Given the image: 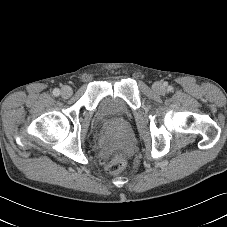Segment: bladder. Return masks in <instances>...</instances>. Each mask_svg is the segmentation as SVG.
I'll list each match as a JSON object with an SVG mask.
<instances>
[{"instance_id":"1","label":"bladder","mask_w":227,"mask_h":227,"mask_svg":"<svg viewBox=\"0 0 227 227\" xmlns=\"http://www.w3.org/2000/svg\"><path fill=\"white\" fill-rule=\"evenodd\" d=\"M128 115L129 109L124 101L113 95L104 96L95 109L93 127L96 130L102 129Z\"/></svg>"}]
</instances>
